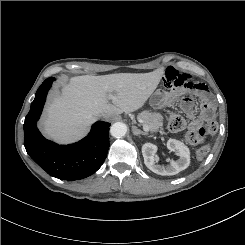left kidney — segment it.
Segmentation results:
<instances>
[{
  "mask_svg": "<svg viewBox=\"0 0 245 245\" xmlns=\"http://www.w3.org/2000/svg\"><path fill=\"white\" fill-rule=\"evenodd\" d=\"M167 148L176 152L179 159L177 161L172 160L168 166H160L156 163L158 160L156 155L158 149L157 146L152 143H145L142 146V155L145 165L148 169L158 175H175L180 171L185 170L190 164V151L184 143L175 139H169L167 141Z\"/></svg>",
  "mask_w": 245,
  "mask_h": 245,
  "instance_id": "left-kidney-1",
  "label": "left kidney"
}]
</instances>
